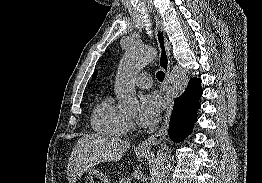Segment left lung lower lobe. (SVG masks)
I'll return each instance as SVG.
<instances>
[{
    "mask_svg": "<svg viewBox=\"0 0 262 183\" xmlns=\"http://www.w3.org/2000/svg\"><path fill=\"white\" fill-rule=\"evenodd\" d=\"M200 84L201 79H191L185 92L174 101L168 135L175 142L184 140L193 129L202 96Z\"/></svg>",
    "mask_w": 262,
    "mask_h": 183,
    "instance_id": "obj_1",
    "label": "left lung lower lobe"
}]
</instances>
